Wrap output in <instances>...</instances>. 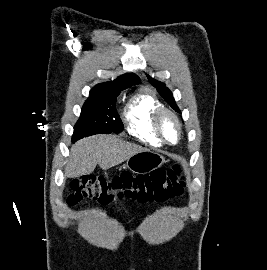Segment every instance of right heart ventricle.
<instances>
[{
  "label": "right heart ventricle",
  "mask_w": 267,
  "mask_h": 270,
  "mask_svg": "<svg viewBox=\"0 0 267 270\" xmlns=\"http://www.w3.org/2000/svg\"><path fill=\"white\" fill-rule=\"evenodd\" d=\"M160 107H163L162 103L149 89L135 93L128 100L123 112L127 131L145 144L160 147L163 143L152 124L153 115Z\"/></svg>",
  "instance_id": "1"
}]
</instances>
